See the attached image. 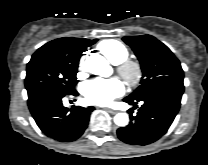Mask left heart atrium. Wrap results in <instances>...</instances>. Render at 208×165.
<instances>
[{
	"instance_id": "1",
	"label": "left heart atrium",
	"mask_w": 208,
	"mask_h": 165,
	"mask_svg": "<svg viewBox=\"0 0 208 165\" xmlns=\"http://www.w3.org/2000/svg\"><path fill=\"white\" fill-rule=\"evenodd\" d=\"M124 93L122 82L116 78H98L85 84L84 96L88 102L96 105H108Z\"/></svg>"
}]
</instances>
